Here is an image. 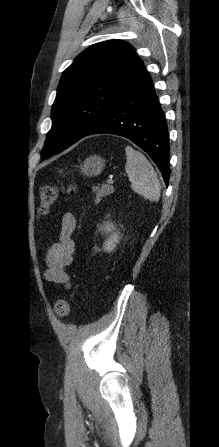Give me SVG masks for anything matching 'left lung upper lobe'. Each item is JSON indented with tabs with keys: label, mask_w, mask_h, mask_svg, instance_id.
<instances>
[{
	"label": "left lung upper lobe",
	"mask_w": 219,
	"mask_h": 447,
	"mask_svg": "<svg viewBox=\"0 0 219 447\" xmlns=\"http://www.w3.org/2000/svg\"><path fill=\"white\" fill-rule=\"evenodd\" d=\"M143 65L135 49L120 40L104 41L81 53L63 72L42 157L83 138L131 86Z\"/></svg>",
	"instance_id": "5c2ea615"
}]
</instances>
